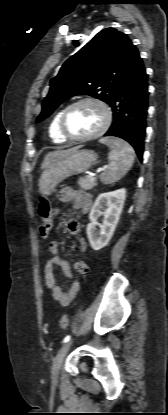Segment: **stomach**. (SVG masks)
<instances>
[{
	"label": "stomach",
	"instance_id": "stomach-1",
	"mask_svg": "<svg viewBox=\"0 0 168 415\" xmlns=\"http://www.w3.org/2000/svg\"><path fill=\"white\" fill-rule=\"evenodd\" d=\"M97 160L98 155L93 150L72 148L42 173L38 183L40 193L51 195L59 183L68 177L86 172Z\"/></svg>",
	"mask_w": 168,
	"mask_h": 415
}]
</instances>
